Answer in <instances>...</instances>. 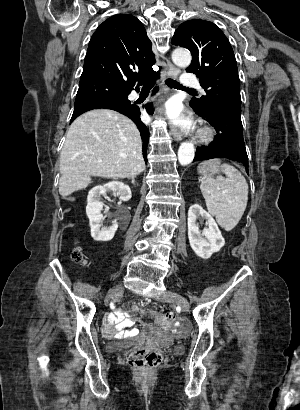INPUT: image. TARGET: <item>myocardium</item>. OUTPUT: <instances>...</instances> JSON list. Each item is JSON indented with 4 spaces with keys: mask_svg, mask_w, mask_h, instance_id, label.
I'll list each match as a JSON object with an SVG mask.
<instances>
[{
    "mask_svg": "<svg viewBox=\"0 0 300 410\" xmlns=\"http://www.w3.org/2000/svg\"><path fill=\"white\" fill-rule=\"evenodd\" d=\"M214 136V131L208 126H203L199 129L196 139L200 143H207L212 140Z\"/></svg>",
    "mask_w": 300,
    "mask_h": 410,
    "instance_id": "myocardium-1",
    "label": "myocardium"
}]
</instances>
